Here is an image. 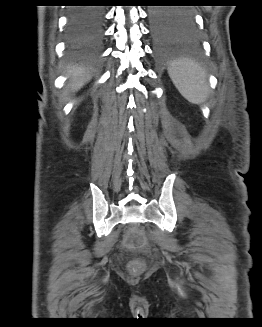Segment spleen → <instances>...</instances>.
Listing matches in <instances>:
<instances>
[{
  "label": "spleen",
  "mask_w": 262,
  "mask_h": 327,
  "mask_svg": "<svg viewBox=\"0 0 262 327\" xmlns=\"http://www.w3.org/2000/svg\"><path fill=\"white\" fill-rule=\"evenodd\" d=\"M168 73L180 94L189 102L202 103L208 95L206 74L197 63L180 59L173 62Z\"/></svg>",
  "instance_id": "obj_1"
}]
</instances>
